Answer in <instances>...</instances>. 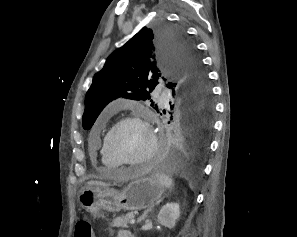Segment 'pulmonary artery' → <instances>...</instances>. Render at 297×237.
<instances>
[{
    "label": "pulmonary artery",
    "instance_id": "obj_1",
    "mask_svg": "<svg viewBox=\"0 0 297 237\" xmlns=\"http://www.w3.org/2000/svg\"><path fill=\"white\" fill-rule=\"evenodd\" d=\"M158 93H160V90H158ZM163 101H166V100H163ZM119 105H120V102L115 101V102L110 104L109 109L116 110L119 107Z\"/></svg>",
    "mask_w": 297,
    "mask_h": 237
}]
</instances>
